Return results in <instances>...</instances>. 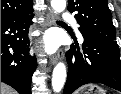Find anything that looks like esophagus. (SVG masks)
Segmentation results:
<instances>
[{
    "instance_id": "esophagus-1",
    "label": "esophagus",
    "mask_w": 121,
    "mask_h": 94,
    "mask_svg": "<svg viewBox=\"0 0 121 94\" xmlns=\"http://www.w3.org/2000/svg\"><path fill=\"white\" fill-rule=\"evenodd\" d=\"M55 23V14L49 10L46 16L45 27H50ZM60 59V53L57 52L50 56L49 60L51 64H55Z\"/></svg>"
}]
</instances>
